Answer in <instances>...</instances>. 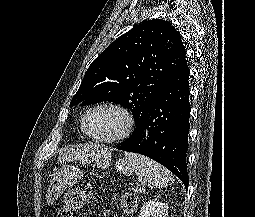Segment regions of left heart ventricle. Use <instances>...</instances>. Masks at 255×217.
<instances>
[{"label":"left heart ventricle","mask_w":255,"mask_h":217,"mask_svg":"<svg viewBox=\"0 0 255 217\" xmlns=\"http://www.w3.org/2000/svg\"><path fill=\"white\" fill-rule=\"evenodd\" d=\"M123 122V117L115 110L99 108L88 115L85 126L93 135L110 137L121 130Z\"/></svg>","instance_id":"b2bd125f"}]
</instances>
